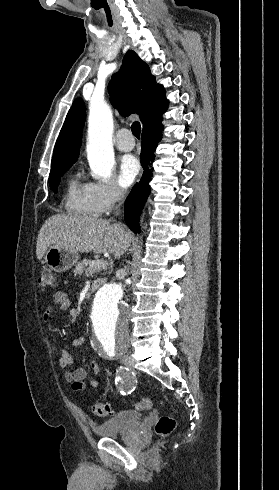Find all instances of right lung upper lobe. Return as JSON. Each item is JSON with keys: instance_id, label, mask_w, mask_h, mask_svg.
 I'll list each match as a JSON object with an SVG mask.
<instances>
[{"instance_id": "obj_1", "label": "right lung upper lobe", "mask_w": 279, "mask_h": 490, "mask_svg": "<svg viewBox=\"0 0 279 490\" xmlns=\"http://www.w3.org/2000/svg\"><path fill=\"white\" fill-rule=\"evenodd\" d=\"M111 102L123 116L138 113L143 132L162 126V113L168 101L165 90L156 85L148 65L130 50L123 59L119 72L112 76L108 85ZM85 108L81 98L76 99L67 116L54 148L51 171L72 165L79 156Z\"/></svg>"}]
</instances>
